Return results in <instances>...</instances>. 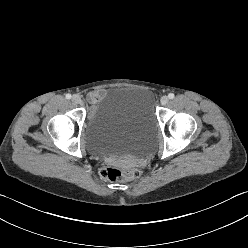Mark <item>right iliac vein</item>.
I'll use <instances>...</instances> for the list:
<instances>
[{
    "label": "right iliac vein",
    "mask_w": 248,
    "mask_h": 248,
    "mask_svg": "<svg viewBox=\"0 0 248 248\" xmlns=\"http://www.w3.org/2000/svg\"><path fill=\"white\" fill-rule=\"evenodd\" d=\"M71 100H72V102L74 103V104H80L81 103V97L79 96V95H73L72 96V98H71Z\"/></svg>",
    "instance_id": "63e3f726"
}]
</instances>
